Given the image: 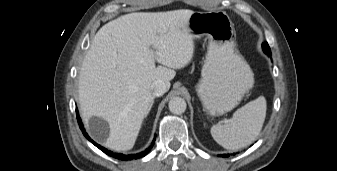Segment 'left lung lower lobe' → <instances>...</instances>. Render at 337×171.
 <instances>
[{"mask_svg":"<svg viewBox=\"0 0 337 171\" xmlns=\"http://www.w3.org/2000/svg\"><path fill=\"white\" fill-rule=\"evenodd\" d=\"M233 155H235V154H233ZM226 156H229V155H223V157H226Z\"/></svg>","mask_w":337,"mask_h":171,"instance_id":"obj_1","label":"left lung lower lobe"}]
</instances>
